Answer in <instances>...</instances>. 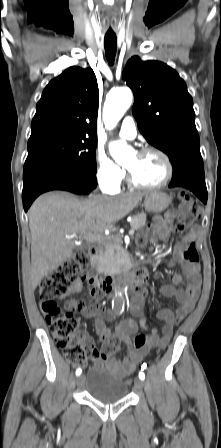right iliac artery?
<instances>
[{"instance_id": "right-iliac-artery-1", "label": "right iliac artery", "mask_w": 221, "mask_h": 448, "mask_svg": "<svg viewBox=\"0 0 221 448\" xmlns=\"http://www.w3.org/2000/svg\"><path fill=\"white\" fill-rule=\"evenodd\" d=\"M81 373H82V370H81L80 368H78V369L76 370V375L79 376Z\"/></svg>"}]
</instances>
